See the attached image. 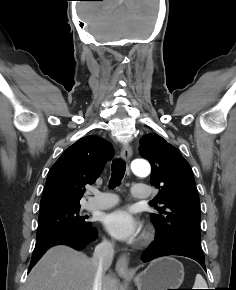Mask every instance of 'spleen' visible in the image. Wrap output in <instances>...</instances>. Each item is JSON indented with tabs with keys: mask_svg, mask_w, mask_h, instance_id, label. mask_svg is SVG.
I'll use <instances>...</instances> for the list:
<instances>
[{
	"mask_svg": "<svg viewBox=\"0 0 236 290\" xmlns=\"http://www.w3.org/2000/svg\"><path fill=\"white\" fill-rule=\"evenodd\" d=\"M194 289H207V283L200 274L195 277Z\"/></svg>",
	"mask_w": 236,
	"mask_h": 290,
	"instance_id": "3e777b00",
	"label": "spleen"
}]
</instances>
